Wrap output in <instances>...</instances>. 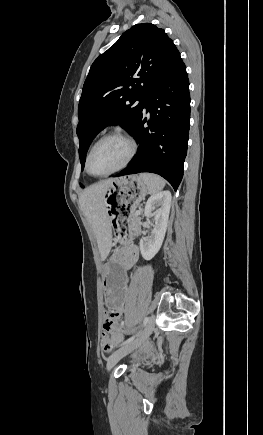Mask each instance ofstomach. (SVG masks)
Here are the masks:
<instances>
[{
    "instance_id": "obj_1",
    "label": "stomach",
    "mask_w": 263,
    "mask_h": 435,
    "mask_svg": "<svg viewBox=\"0 0 263 435\" xmlns=\"http://www.w3.org/2000/svg\"><path fill=\"white\" fill-rule=\"evenodd\" d=\"M148 192L146 183L137 175L125 176L114 181L104 195L107 218L111 223V232L118 238H129L134 232L133 224H113L118 219H131L132 210ZM121 246L127 245L126 239L120 240ZM128 261L121 258H108L104 265V301L103 310H118L129 299L127 278L130 275Z\"/></svg>"
}]
</instances>
